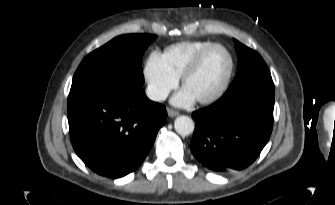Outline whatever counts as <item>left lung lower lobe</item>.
<instances>
[{
  "label": "left lung lower lobe",
  "instance_id": "obj_1",
  "mask_svg": "<svg viewBox=\"0 0 335 205\" xmlns=\"http://www.w3.org/2000/svg\"><path fill=\"white\" fill-rule=\"evenodd\" d=\"M274 94L260 89L225 93L192 113L196 121L190 148L203 166L216 172L248 167L267 144L273 126Z\"/></svg>",
  "mask_w": 335,
  "mask_h": 205
}]
</instances>
